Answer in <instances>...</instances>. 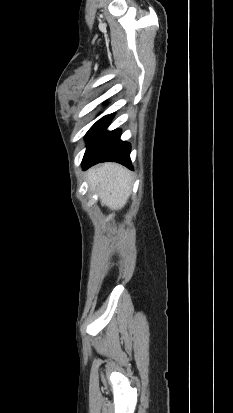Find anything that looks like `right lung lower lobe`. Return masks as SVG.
Segmentation results:
<instances>
[{"mask_svg": "<svg viewBox=\"0 0 233 413\" xmlns=\"http://www.w3.org/2000/svg\"><path fill=\"white\" fill-rule=\"evenodd\" d=\"M112 117L113 114L103 117L88 131V146L82 161L83 169L105 161L118 162L132 169L130 144L120 140L121 133L118 129L105 131Z\"/></svg>", "mask_w": 233, "mask_h": 413, "instance_id": "right-lung-lower-lobe-1", "label": "right lung lower lobe"}]
</instances>
